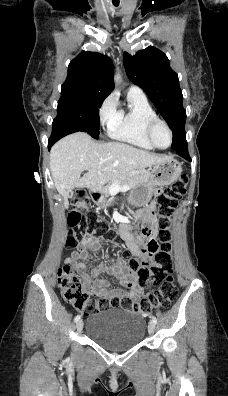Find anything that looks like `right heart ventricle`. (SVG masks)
<instances>
[{
  "label": "right heart ventricle",
  "instance_id": "obj_1",
  "mask_svg": "<svg viewBox=\"0 0 228 396\" xmlns=\"http://www.w3.org/2000/svg\"><path fill=\"white\" fill-rule=\"evenodd\" d=\"M156 112L145 97L128 93L126 109H119L114 122L108 126L110 137L120 140L144 150H153L154 147L145 135L146 122L156 117Z\"/></svg>",
  "mask_w": 228,
  "mask_h": 396
}]
</instances>
